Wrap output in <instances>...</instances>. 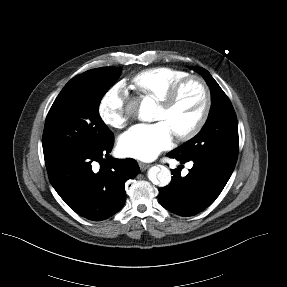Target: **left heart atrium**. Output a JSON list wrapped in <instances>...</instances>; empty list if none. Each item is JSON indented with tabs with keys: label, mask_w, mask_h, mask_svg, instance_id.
<instances>
[{
	"label": "left heart atrium",
	"mask_w": 287,
	"mask_h": 287,
	"mask_svg": "<svg viewBox=\"0 0 287 287\" xmlns=\"http://www.w3.org/2000/svg\"><path fill=\"white\" fill-rule=\"evenodd\" d=\"M173 133L162 121L137 124L121 135L119 149L124 156L149 161L172 144Z\"/></svg>",
	"instance_id": "39dd6f15"
}]
</instances>
